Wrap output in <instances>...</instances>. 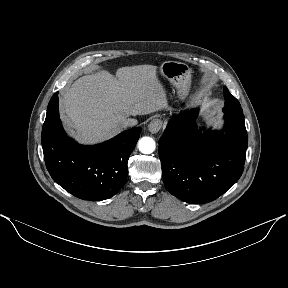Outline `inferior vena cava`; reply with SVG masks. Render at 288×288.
Listing matches in <instances>:
<instances>
[{
	"mask_svg": "<svg viewBox=\"0 0 288 288\" xmlns=\"http://www.w3.org/2000/svg\"><path fill=\"white\" fill-rule=\"evenodd\" d=\"M138 121L136 119L133 118H127L124 122H123V127H132L137 125Z\"/></svg>",
	"mask_w": 288,
	"mask_h": 288,
	"instance_id": "1",
	"label": "inferior vena cava"
}]
</instances>
